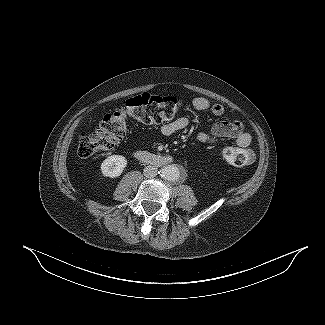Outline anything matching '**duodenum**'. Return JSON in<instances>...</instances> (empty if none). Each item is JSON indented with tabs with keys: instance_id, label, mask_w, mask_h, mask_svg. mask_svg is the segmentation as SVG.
Returning a JSON list of instances; mask_svg holds the SVG:
<instances>
[{
	"instance_id": "1",
	"label": "duodenum",
	"mask_w": 325,
	"mask_h": 325,
	"mask_svg": "<svg viewBox=\"0 0 325 325\" xmlns=\"http://www.w3.org/2000/svg\"><path fill=\"white\" fill-rule=\"evenodd\" d=\"M136 158L153 166H165L173 161L169 155L156 154L149 151L137 149L134 152Z\"/></svg>"
}]
</instances>
